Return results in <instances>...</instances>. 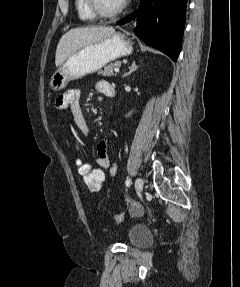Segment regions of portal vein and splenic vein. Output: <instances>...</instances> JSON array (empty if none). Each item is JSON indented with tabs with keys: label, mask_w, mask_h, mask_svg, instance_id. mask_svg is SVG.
Segmentation results:
<instances>
[{
	"label": "portal vein and splenic vein",
	"mask_w": 240,
	"mask_h": 287,
	"mask_svg": "<svg viewBox=\"0 0 240 287\" xmlns=\"http://www.w3.org/2000/svg\"><path fill=\"white\" fill-rule=\"evenodd\" d=\"M114 71H115L116 73H118V72H119V67L115 68Z\"/></svg>",
	"instance_id": "obj_1"
}]
</instances>
